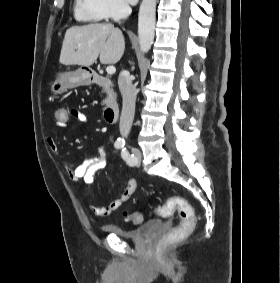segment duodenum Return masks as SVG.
<instances>
[{"instance_id": "obj_1", "label": "duodenum", "mask_w": 280, "mask_h": 283, "mask_svg": "<svg viewBox=\"0 0 280 283\" xmlns=\"http://www.w3.org/2000/svg\"><path fill=\"white\" fill-rule=\"evenodd\" d=\"M90 84L104 88L108 93L106 105L103 109V116L106 122L114 123L117 121L119 113V104L113 91L111 80L97 73H90L83 78Z\"/></svg>"}]
</instances>
